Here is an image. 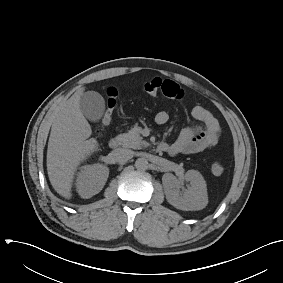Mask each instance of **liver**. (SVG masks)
Wrapping results in <instances>:
<instances>
[{
	"label": "liver",
	"mask_w": 283,
	"mask_h": 283,
	"mask_svg": "<svg viewBox=\"0 0 283 283\" xmlns=\"http://www.w3.org/2000/svg\"><path fill=\"white\" fill-rule=\"evenodd\" d=\"M83 89L76 91L54 117L47 149V171L54 190L66 199L72 197L74 175L80 163L98 149L90 138L91 126L80 109Z\"/></svg>",
	"instance_id": "6515ba94"
}]
</instances>
